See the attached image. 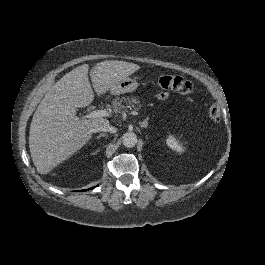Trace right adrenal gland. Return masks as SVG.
I'll return each mask as SVG.
<instances>
[{
  "label": "right adrenal gland",
  "instance_id": "1",
  "mask_svg": "<svg viewBox=\"0 0 265 265\" xmlns=\"http://www.w3.org/2000/svg\"><path fill=\"white\" fill-rule=\"evenodd\" d=\"M101 137H105L107 139L108 135L104 134V133H101L100 135L97 136V139H100Z\"/></svg>",
  "mask_w": 265,
  "mask_h": 265
}]
</instances>
